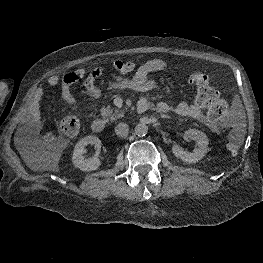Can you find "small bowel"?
<instances>
[{
    "label": "small bowel",
    "mask_w": 263,
    "mask_h": 263,
    "mask_svg": "<svg viewBox=\"0 0 263 263\" xmlns=\"http://www.w3.org/2000/svg\"><path fill=\"white\" fill-rule=\"evenodd\" d=\"M116 64L127 66V69H118ZM112 67L123 74H131L129 78H116L111 84L113 89H128L144 93L153 90L157 85L156 81L150 78V75L164 71L167 68V64L161 59H151L140 66H136L132 62L115 61L112 64ZM102 73V67H96L90 72H87L84 68H79L64 75L62 79H60V77L57 75H51L48 78L47 83L49 86H57L58 84H61V96L63 100L70 105H75L77 101L72 94L71 88L75 83L82 81L83 87L89 97L94 101H98L102 94L100 88L97 85V80L102 75ZM42 96L43 90L38 88L34 93L30 107V127L35 133L38 132L40 126L39 103ZM139 102L146 103L148 107L152 106V103L146 97L142 98ZM155 107L161 113H167L172 110V106L167 102H159ZM174 110L180 116L190 117L202 122L211 131L217 132L220 129L217 120H214L204 114L203 105L198 102L197 98L193 102L182 101L178 103ZM43 140L46 143H52L54 142L55 137L53 134L47 133L43 136Z\"/></svg>",
    "instance_id": "c3829d8e"
}]
</instances>
